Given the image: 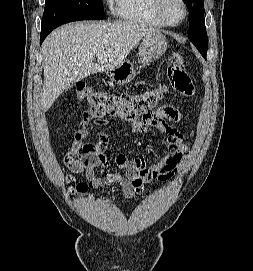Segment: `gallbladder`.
<instances>
[{
	"label": "gallbladder",
	"instance_id": "obj_1",
	"mask_svg": "<svg viewBox=\"0 0 253 271\" xmlns=\"http://www.w3.org/2000/svg\"><path fill=\"white\" fill-rule=\"evenodd\" d=\"M70 88L71 86L66 87L65 92H67Z\"/></svg>",
	"mask_w": 253,
	"mask_h": 271
}]
</instances>
